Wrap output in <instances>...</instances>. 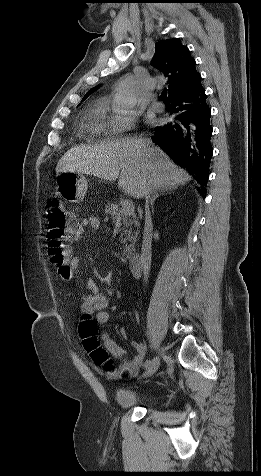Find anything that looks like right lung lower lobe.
Returning a JSON list of instances; mask_svg holds the SVG:
<instances>
[{
    "label": "right lung lower lobe",
    "instance_id": "right-lung-lower-lobe-1",
    "mask_svg": "<svg viewBox=\"0 0 261 476\" xmlns=\"http://www.w3.org/2000/svg\"><path fill=\"white\" fill-rule=\"evenodd\" d=\"M171 120L156 127L153 142L200 184L201 193L209 178L213 154L211 145V110L206 103L201 77L188 91L170 99Z\"/></svg>",
    "mask_w": 261,
    "mask_h": 476
}]
</instances>
